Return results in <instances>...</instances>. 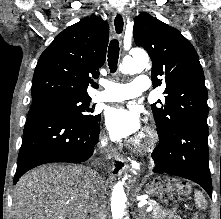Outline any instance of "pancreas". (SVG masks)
<instances>
[{"mask_svg": "<svg viewBox=\"0 0 221 219\" xmlns=\"http://www.w3.org/2000/svg\"><path fill=\"white\" fill-rule=\"evenodd\" d=\"M148 205L152 206L150 214L152 219H181L178 215H176V209L167 210L154 200H150Z\"/></svg>", "mask_w": 221, "mask_h": 219, "instance_id": "cf45deb5", "label": "pancreas"}]
</instances>
